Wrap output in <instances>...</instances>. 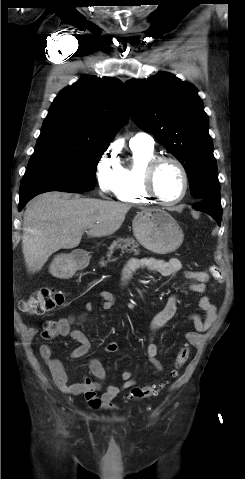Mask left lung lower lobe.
Returning a JSON list of instances; mask_svg holds the SVG:
<instances>
[{
	"instance_id": "left-lung-lower-lobe-1",
	"label": "left lung lower lobe",
	"mask_w": 245,
	"mask_h": 479,
	"mask_svg": "<svg viewBox=\"0 0 245 479\" xmlns=\"http://www.w3.org/2000/svg\"><path fill=\"white\" fill-rule=\"evenodd\" d=\"M220 193L217 192L210 197H207L201 200L199 203L193 206L195 210L205 212L211 215L220 226L221 217H222V207L220 200Z\"/></svg>"
}]
</instances>
